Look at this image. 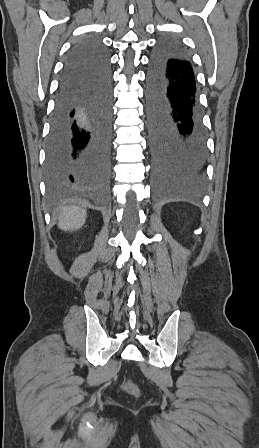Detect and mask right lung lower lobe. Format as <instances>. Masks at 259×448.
<instances>
[{
  "label": "right lung lower lobe",
  "instance_id": "1",
  "mask_svg": "<svg viewBox=\"0 0 259 448\" xmlns=\"http://www.w3.org/2000/svg\"><path fill=\"white\" fill-rule=\"evenodd\" d=\"M112 78L96 37L71 49L59 82L47 140L46 175L53 186H104L111 167Z\"/></svg>",
  "mask_w": 259,
  "mask_h": 448
}]
</instances>
